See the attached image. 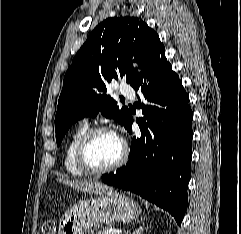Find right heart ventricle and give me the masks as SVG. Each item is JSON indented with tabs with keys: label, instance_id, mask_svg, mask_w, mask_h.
I'll use <instances>...</instances> for the list:
<instances>
[{
	"label": "right heart ventricle",
	"instance_id": "e07e8e85",
	"mask_svg": "<svg viewBox=\"0 0 241 234\" xmlns=\"http://www.w3.org/2000/svg\"><path fill=\"white\" fill-rule=\"evenodd\" d=\"M88 131L87 123H81L69 136L65 154H64V167L66 171L74 177H82L85 172L78 166L76 160L77 146L82 136Z\"/></svg>",
	"mask_w": 241,
	"mask_h": 234
}]
</instances>
